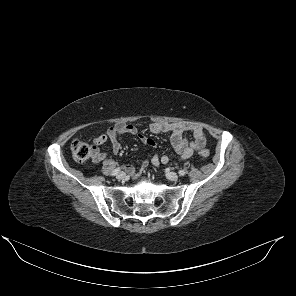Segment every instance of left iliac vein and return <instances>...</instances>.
Instances as JSON below:
<instances>
[{
    "label": "left iliac vein",
    "mask_w": 296,
    "mask_h": 296,
    "mask_svg": "<svg viewBox=\"0 0 296 296\" xmlns=\"http://www.w3.org/2000/svg\"><path fill=\"white\" fill-rule=\"evenodd\" d=\"M166 177L171 181H176L178 179V174L173 171H168Z\"/></svg>",
    "instance_id": "obj_1"
}]
</instances>
